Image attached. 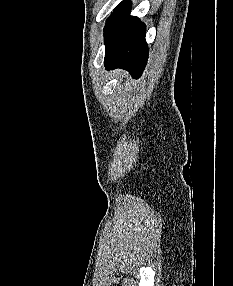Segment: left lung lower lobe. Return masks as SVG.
Wrapping results in <instances>:
<instances>
[{"mask_svg": "<svg viewBox=\"0 0 233 286\" xmlns=\"http://www.w3.org/2000/svg\"><path fill=\"white\" fill-rule=\"evenodd\" d=\"M145 25L129 14V3L121 2L104 28L106 69L123 68L141 76L148 59Z\"/></svg>", "mask_w": 233, "mask_h": 286, "instance_id": "1", "label": "left lung lower lobe"}]
</instances>
